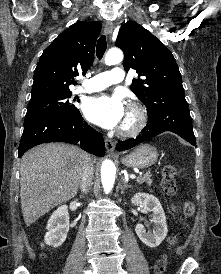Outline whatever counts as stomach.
Wrapping results in <instances>:
<instances>
[{"instance_id": "0dacf381", "label": "stomach", "mask_w": 221, "mask_h": 274, "mask_svg": "<svg viewBox=\"0 0 221 274\" xmlns=\"http://www.w3.org/2000/svg\"><path fill=\"white\" fill-rule=\"evenodd\" d=\"M158 159V152L154 146L144 144L122 158L123 164L133 168H148Z\"/></svg>"}]
</instances>
